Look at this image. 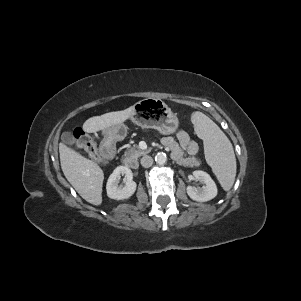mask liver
Returning <instances> with one entry per match:
<instances>
[{"label":"liver","instance_id":"6515ba94","mask_svg":"<svg viewBox=\"0 0 301 301\" xmlns=\"http://www.w3.org/2000/svg\"><path fill=\"white\" fill-rule=\"evenodd\" d=\"M133 112V107H129L122 111L91 117L85 121L83 129L88 133H94L123 125ZM59 153L61 168L69 183L87 202L100 205L104 180V173L100 166L63 143L59 144Z\"/></svg>","mask_w":301,"mask_h":301}]
</instances>
